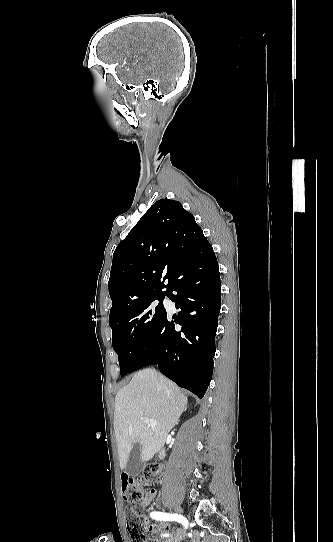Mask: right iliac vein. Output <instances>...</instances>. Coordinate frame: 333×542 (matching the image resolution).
<instances>
[{
  "label": "right iliac vein",
  "instance_id": "1",
  "mask_svg": "<svg viewBox=\"0 0 333 542\" xmlns=\"http://www.w3.org/2000/svg\"><path fill=\"white\" fill-rule=\"evenodd\" d=\"M181 512V511H179ZM184 538V534L180 528H177V535L171 539L165 540L163 542H180Z\"/></svg>",
  "mask_w": 333,
  "mask_h": 542
}]
</instances>
